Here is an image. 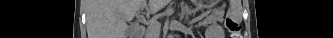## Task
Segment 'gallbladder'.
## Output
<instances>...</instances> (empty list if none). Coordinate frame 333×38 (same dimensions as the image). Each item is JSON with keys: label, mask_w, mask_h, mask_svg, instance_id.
<instances>
[{"label": "gallbladder", "mask_w": 333, "mask_h": 38, "mask_svg": "<svg viewBox=\"0 0 333 38\" xmlns=\"http://www.w3.org/2000/svg\"><path fill=\"white\" fill-rule=\"evenodd\" d=\"M126 37L132 38L133 37V26H129V28L126 31Z\"/></svg>", "instance_id": "1"}]
</instances>
